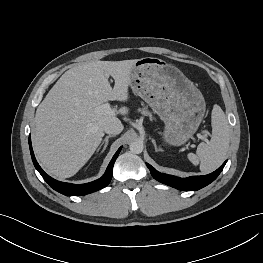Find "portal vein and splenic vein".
Returning a JSON list of instances; mask_svg holds the SVG:
<instances>
[{
  "mask_svg": "<svg viewBox=\"0 0 263 263\" xmlns=\"http://www.w3.org/2000/svg\"><path fill=\"white\" fill-rule=\"evenodd\" d=\"M96 111L99 112V113H102L104 115H110V116H114L115 115V110H113L111 108V105L108 102L100 105L99 107H97ZM197 137L199 139H201V140H204V141L207 140V137L205 135H202V134H197Z\"/></svg>",
  "mask_w": 263,
  "mask_h": 263,
  "instance_id": "18ae733b",
  "label": "portal vein and splenic vein"
}]
</instances>
